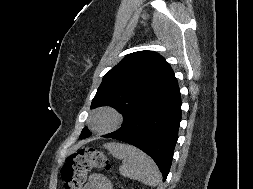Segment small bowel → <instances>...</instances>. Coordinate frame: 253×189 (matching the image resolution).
Segmentation results:
<instances>
[{"label": "small bowel", "instance_id": "c3829d8e", "mask_svg": "<svg viewBox=\"0 0 253 189\" xmlns=\"http://www.w3.org/2000/svg\"><path fill=\"white\" fill-rule=\"evenodd\" d=\"M85 189H113L111 181L100 173H93Z\"/></svg>", "mask_w": 253, "mask_h": 189}]
</instances>
